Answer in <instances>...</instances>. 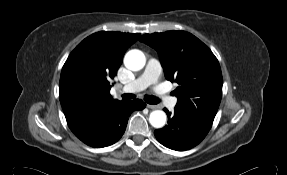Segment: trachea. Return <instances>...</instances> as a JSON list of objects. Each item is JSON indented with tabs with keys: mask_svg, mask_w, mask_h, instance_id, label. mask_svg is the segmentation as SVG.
I'll list each match as a JSON object with an SVG mask.
<instances>
[{
	"mask_svg": "<svg viewBox=\"0 0 287 175\" xmlns=\"http://www.w3.org/2000/svg\"><path fill=\"white\" fill-rule=\"evenodd\" d=\"M136 97L135 94L126 93L122 95L123 99H134ZM144 100L151 105L158 104L160 101L157 97L153 95H145Z\"/></svg>",
	"mask_w": 287,
	"mask_h": 175,
	"instance_id": "1",
	"label": "trachea"
}]
</instances>
